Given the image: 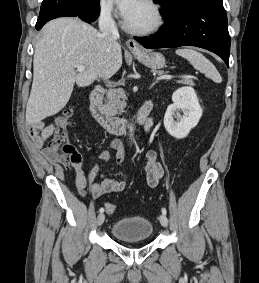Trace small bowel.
Masks as SVG:
<instances>
[{"label": "small bowel", "mask_w": 259, "mask_h": 283, "mask_svg": "<svg viewBox=\"0 0 259 283\" xmlns=\"http://www.w3.org/2000/svg\"><path fill=\"white\" fill-rule=\"evenodd\" d=\"M27 133L34 147L41 149L45 141L54 133V123L46 125L43 121L33 122L29 124ZM108 148L116 150L115 156L112 157L108 149L103 150L99 154L102 164L94 166L88 174H84L81 163L73 166L76 173L75 184L81 196L85 197L89 193L93 197H101L107 193L124 191L129 186L126 181H118L104 176L103 164L119 165L125 158V150L120 141H111ZM145 172V181L148 186L156 187L163 177L164 170L157 159V152L154 150H150L146 154ZM97 177H100V183L95 182Z\"/></svg>", "instance_id": "c3829d8e"}]
</instances>
